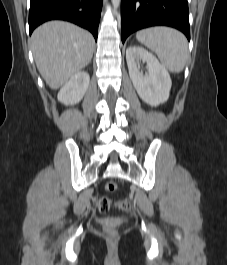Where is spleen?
<instances>
[{"label": "spleen", "mask_w": 227, "mask_h": 265, "mask_svg": "<svg viewBox=\"0 0 227 265\" xmlns=\"http://www.w3.org/2000/svg\"><path fill=\"white\" fill-rule=\"evenodd\" d=\"M137 40L155 52L162 65L172 73H180L189 57L186 37L169 27H151L137 32Z\"/></svg>", "instance_id": "spleen-1"}]
</instances>
